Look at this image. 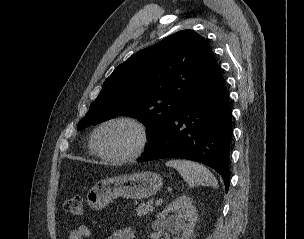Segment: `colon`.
<instances>
[{
  "label": "colon",
  "mask_w": 304,
  "mask_h": 239,
  "mask_svg": "<svg viewBox=\"0 0 304 239\" xmlns=\"http://www.w3.org/2000/svg\"><path fill=\"white\" fill-rule=\"evenodd\" d=\"M64 210L74 216L83 214V199L81 196H72L65 199L63 203Z\"/></svg>",
  "instance_id": "obj_1"
}]
</instances>
